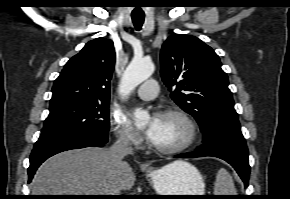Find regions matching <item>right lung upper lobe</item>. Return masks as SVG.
<instances>
[{"label": "right lung upper lobe", "instance_id": "right-lung-upper-lobe-1", "mask_svg": "<svg viewBox=\"0 0 290 199\" xmlns=\"http://www.w3.org/2000/svg\"><path fill=\"white\" fill-rule=\"evenodd\" d=\"M115 63L113 42L106 38L89 41L65 65L55 80L50 110L84 103H108Z\"/></svg>", "mask_w": 290, "mask_h": 199}]
</instances>
